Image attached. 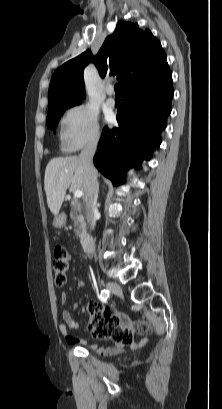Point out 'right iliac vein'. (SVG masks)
I'll list each match as a JSON object with an SVG mask.
<instances>
[{
  "label": "right iliac vein",
  "mask_w": 222,
  "mask_h": 409,
  "mask_svg": "<svg viewBox=\"0 0 222 409\" xmlns=\"http://www.w3.org/2000/svg\"><path fill=\"white\" fill-rule=\"evenodd\" d=\"M106 287L110 292H112L114 294H118V295L122 294V289H121L120 285H118L115 282H112V281L107 282Z\"/></svg>",
  "instance_id": "right-iliac-vein-1"
}]
</instances>
